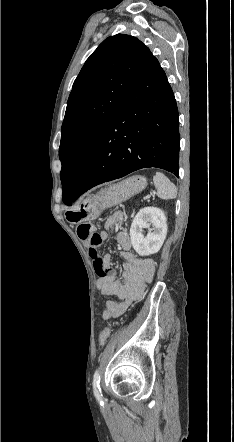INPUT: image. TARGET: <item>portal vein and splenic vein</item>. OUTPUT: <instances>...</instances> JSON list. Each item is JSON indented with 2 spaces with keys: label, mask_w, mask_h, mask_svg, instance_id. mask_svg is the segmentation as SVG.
<instances>
[{
  "label": "portal vein and splenic vein",
  "mask_w": 234,
  "mask_h": 442,
  "mask_svg": "<svg viewBox=\"0 0 234 442\" xmlns=\"http://www.w3.org/2000/svg\"><path fill=\"white\" fill-rule=\"evenodd\" d=\"M155 193H156L155 191H153V192H150V194H149V195H146V196H144V197H143V199H144V200H146V199H149V198H150L151 196H154V195H155Z\"/></svg>",
  "instance_id": "obj_1"
}]
</instances>
